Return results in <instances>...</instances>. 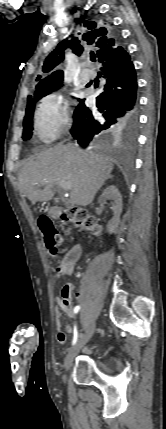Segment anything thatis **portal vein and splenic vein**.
Segmentation results:
<instances>
[{
  "mask_svg": "<svg viewBox=\"0 0 166 429\" xmlns=\"http://www.w3.org/2000/svg\"><path fill=\"white\" fill-rule=\"evenodd\" d=\"M59 186H60L61 188H63V189H66V190H70V189L72 188V184H71V182H68V181L61 182V183L59 184Z\"/></svg>",
  "mask_w": 166,
  "mask_h": 429,
  "instance_id": "portal-vein-and-splenic-vein-1",
  "label": "portal vein and splenic vein"
}]
</instances>
